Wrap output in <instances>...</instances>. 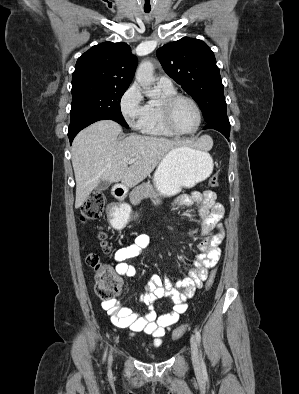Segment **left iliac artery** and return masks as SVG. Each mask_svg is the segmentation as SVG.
Returning <instances> with one entry per match:
<instances>
[{
	"label": "left iliac artery",
	"mask_w": 299,
	"mask_h": 394,
	"mask_svg": "<svg viewBox=\"0 0 299 394\" xmlns=\"http://www.w3.org/2000/svg\"><path fill=\"white\" fill-rule=\"evenodd\" d=\"M195 336H196V340H197L198 344H200V341H201V335H200V332H199V331H196V333H195ZM200 357H201V364H202V368H203V369H205V363H204V360H203V358H202V355H201V354H200Z\"/></svg>",
	"instance_id": "44dca946"
}]
</instances>
